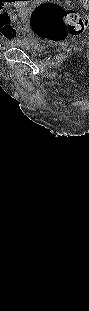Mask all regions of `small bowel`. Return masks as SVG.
Segmentation results:
<instances>
[{
    "label": "small bowel",
    "instance_id": "c3829d8e",
    "mask_svg": "<svg viewBox=\"0 0 89 311\" xmlns=\"http://www.w3.org/2000/svg\"><path fill=\"white\" fill-rule=\"evenodd\" d=\"M3 38L6 44L13 43L15 41L16 37V31L5 23L4 25V31L2 32Z\"/></svg>",
    "mask_w": 89,
    "mask_h": 311
}]
</instances>
